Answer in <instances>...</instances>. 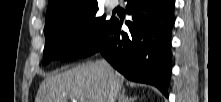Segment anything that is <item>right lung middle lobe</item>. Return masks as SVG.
<instances>
[{
	"label": "right lung middle lobe",
	"instance_id": "obj_1",
	"mask_svg": "<svg viewBox=\"0 0 221 102\" xmlns=\"http://www.w3.org/2000/svg\"><path fill=\"white\" fill-rule=\"evenodd\" d=\"M98 3L65 8L46 20L43 64L51 59L75 60L97 41L111 21L97 16Z\"/></svg>",
	"mask_w": 221,
	"mask_h": 102
}]
</instances>
